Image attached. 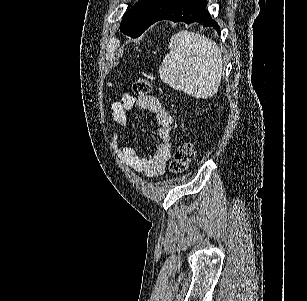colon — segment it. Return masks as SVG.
<instances>
[{"mask_svg": "<svg viewBox=\"0 0 307 301\" xmlns=\"http://www.w3.org/2000/svg\"><path fill=\"white\" fill-rule=\"evenodd\" d=\"M132 87L136 95L145 96L153 90V82L149 78H138L133 82ZM194 156L195 151L192 143L185 142L181 144L170 161V171L175 174L185 172L192 163Z\"/></svg>", "mask_w": 307, "mask_h": 301, "instance_id": "obj_1", "label": "colon"}]
</instances>
